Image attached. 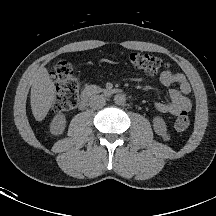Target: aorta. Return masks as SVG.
Listing matches in <instances>:
<instances>
[{"label":"aorta","instance_id":"obj_1","mask_svg":"<svg viewBox=\"0 0 216 216\" xmlns=\"http://www.w3.org/2000/svg\"><path fill=\"white\" fill-rule=\"evenodd\" d=\"M114 102L117 105H123L126 102V96L124 94H116L114 96Z\"/></svg>","mask_w":216,"mask_h":216}]
</instances>
